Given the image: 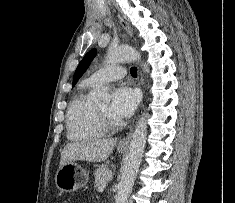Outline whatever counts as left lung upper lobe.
<instances>
[{
  "mask_svg": "<svg viewBox=\"0 0 235 203\" xmlns=\"http://www.w3.org/2000/svg\"><path fill=\"white\" fill-rule=\"evenodd\" d=\"M97 50L96 49H92L90 50L82 59V61L79 63L75 74H74V78H73V85L76 84V82L78 81V79L83 75V73L87 70L88 66L90 65L91 61L93 60V58L96 56Z\"/></svg>",
  "mask_w": 235,
  "mask_h": 203,
  "instance_id": "obj_1",
  "label": "left lung upper lobe"
}]
</instances>
